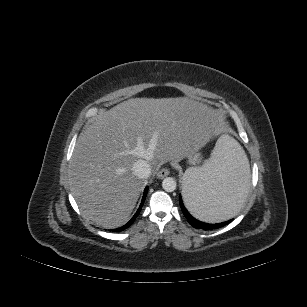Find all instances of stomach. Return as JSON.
<instances>
[{
	"label": "stomach",
	"instance_id": "obj_1",
	"mask_svg": "<svg viewBox=\"0 0 307 307\" xmlns=\"http://www.w3.org/2000/svg\"><path fill=\"white\" fill-rule=\"evenodd\" d=\"M187 157H188V161L191 164L199 163L201 160V156H200V153L198 152V147L194 146L191 149H189L187 153Z\"/></svg>",
	"mask_w": 307,
	"mask_h": 307
}]
</instances>
